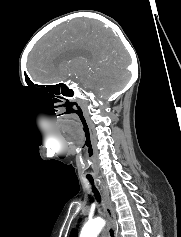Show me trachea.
<instances>
[{
  "label": "trachea",
  "mask_w": 181,
  "mask_h": 237,
  "mask_svg": "<svg viewBox=\"0 0 181 237\" xmlns=\"http://www.w3.org/2000/svg\"><path fill=\"white\" fill-rule=\"evenodd\" d=\"M88 180L90 181V183L93 185L94 182H93V179L92 178H88ZM93 191L95 193V196H96V199L100 202V194L99 192L93 187Z\"/></svg>",
  "instance_id": "3493384b"
}]
</instances>
